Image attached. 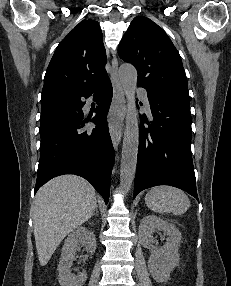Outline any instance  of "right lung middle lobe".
Returning a JSON list of instances; mask_svg holds the SVG:
<instances>
[{
	"instance_id": "right-lung-middle-lobe-1",
	"label": "right lung middle lobe",
	"mask_w": 231,
	"mask_h": 286,
	"mask_svg": "<svg viewBox=\"0 0 231 286\" xmlns=\"http://www.w3.org/2000/svg\"><path fill=\"white\" fill-rule=\"evenodd\" d=\"M69 112V109L65 105L45 108L41 110L40 121L45 122L58 116L64 115Z\"/></svg>"
}]
</instances>
